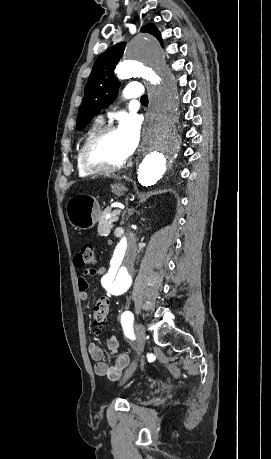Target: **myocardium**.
Masks as SVG:
<instances>
[{
  "mask_svg": "<svg viewBox=\"0 0 271 459\" xmlns=\"http://www.w3.org/2000/svg\"><path fill=\"white\" fill-rule=\"evenodd\" d=\"M116 130L115 124H108L98 128L85 140L81 149V156L87 168L96 171L116 170L120 169L129 160L130 154L120 159H112L97 151L98 145Z\"/></svg>",
  "mask_w": 271,
  "mask_h": 459,
  "instance_id": "f54148a6",
  "label": "myocardium"
}]
</instances>
